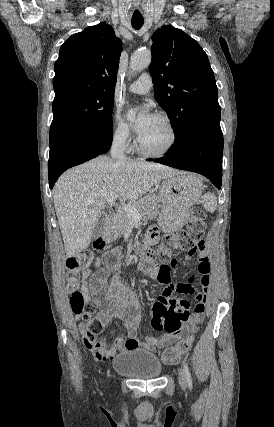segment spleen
<instances>
[{
    "mask_svg": "<svg viewBox=\"0 0 274 427\" xmlns=\"http://www.w3.org/2000/svg\"><path fill=\"white\" fill-rule=\"evenodd\" d=\"M194 186L200 190L199 194H201V180H196V182H194ZM196 196L197 194H193L192 200H195ZM202 202L204 210H207V212H215L217 208V198H215L214 194H210V192H208V194H204Z\"/></svg>",
    "mask_w": 274,
    "mask_h": 427,
    "instance_id": "1",
    "label": "spleen"
}]
</instances>
